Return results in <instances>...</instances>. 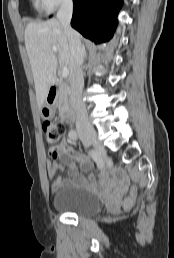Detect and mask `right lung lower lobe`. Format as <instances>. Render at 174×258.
Wrapping results in <instances>:
<instances>
[{"label": "right lung lower lobe", "instance_id": "1", "mask_svg": "<svg viewBox=\"0 0 174 258\" xmlns=\"http://www.w3.org/2000/svg\"><path fill=\"white\" fill-rule=\"evenodd\" d=\"M73 28L95 43L110 40L123 0H73Z\"/></svg>", "mask_w": 174, "mask_h": 258}]
</instances>
